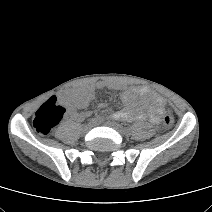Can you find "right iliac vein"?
Wrapping results in <instances>:
<instances>
[{"mask_svg":"<svg viewBox=\"0 0 212 212\" xmlns=\"http://www.w3.org/2000/svg\"><path fill=\"white\" fill-rule=\"evenodd\" d=\"M91 128H92L91 123L83 125L82 133H84V134L87 133Z\"/></svg>","mask_w":212,"mask_h":212,"instance_id":"right-iliac-vein-1","label":"right iliac vein"}]
</instances>
